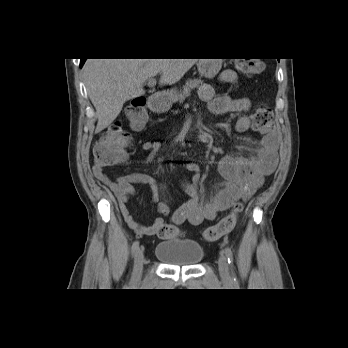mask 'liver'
<instances>
[{"mask_svg": "<svg viewBox=\"0 0 348 348\" xmlns=\"http://www.w3.org/2000/svg\"><path fill=\"white\" fill-rule=\"evenodd\" d=\"M199 59H88L83 67L88 96L96 109L95 132L107 128L124 103L144 94L143 85L160 74L159 84L177 83Z\"/></svg>", "mask_w": 348, "mask_h": 348, "instance_id": "obj_1", "label": "liver"}]
</instances>
